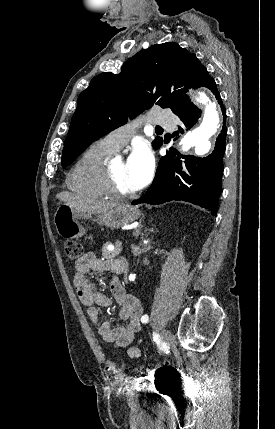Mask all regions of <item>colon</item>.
<instances>
[{"instance_id":"5ec220e1","label":"colon","mask_w":275,"mask_h":429,"mask_svg":"<svg viewBox=\"0 0 275 429\" xmlns=\"http://www.w3.org/2000/svg\"><path fill=\"white\" fill-rule=\"evenodd\" d=\"M65 256L69 261H75L79 258L82 252V246L72 240H68L64 244ZM121 369L115 363H108L105 367L106 377L109 382L114 383L120 376Z\"/></svg>"}]
</instances>
